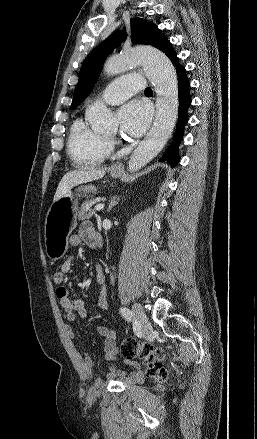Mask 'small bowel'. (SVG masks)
Segmentation results:
<instances>
[{
	"label": "small bowel",
	"instance_id": "obj_1",
	"mask_svg": "<svg viewBox=\"0 0 257 439\" xmlns=\"http://www.w3.org/2000/svg\"><path fill=\"white\" fill-rule=\"evenodd\" d=\"M70 244L72 246L80 245L81 243H86L90 247L94 248L98 245L100 238L94 229V227L88 223L84 222L81 224L80 228L76 233L71 235ZM72 271V262L70 260H66L63 262L60 268V272L65 275ZM96 273V281L101 286L97 306L101 310H105L107 308V298L106 291L104 287V274L99 266L95 269ZM56 295L59 299L61 307L66 312V318L68 321L73 322L77 317L84 318L87 315V309L85 303L81 299H71L69 296V292L65 287H59L56 290ZM68 335L71 338H74L75 332L72 327L67 328ZM97 332L104 338V350L103 355L106 360L113 361L118 357V346H117V334L115 331L104 327L98 326ZM132 370L130 372H124L120 370H116L112 367H108L106 369L107 375L110 379L118 380L122 383L133 384L139 383L143 380L144 375L140 369V366L136 362L130 363ZM82 368L85 374H89L93 368L92 359L88 354L84 353L82 358Z\"/></svg>",
	"mask_w": 257,
	"mask_h": 439
}]
</instances>
